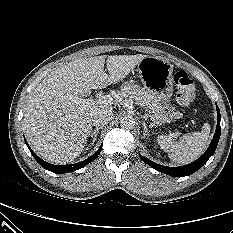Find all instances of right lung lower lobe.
Segmentation results:
<instances>
[{
	"label": "right lung lower lobe",
	"mask_w": 233,
	"mask_h": 233,
	"mask_svg": "<svg viewBox=\"0 0 233 233\" xmlns=\"http://www.w3.org/2000/svg\"><path fill=\"white\" fill-rule=\"evenodd\" d=\"M26 142V141H25ZM27 144V142H26ZM31 154L33 155V157L35 158V160L46 170H49L51 172L54 173H67V172H72L75 170H78L80 168H83L84 166L88 165L90 162H92L93 160H95L97 158V156L100 154V151L102 149V146L97 150V152L95 154H93L92 156H90L89 158H87L86 160L76 163V164H71V165H53L50 163L45 162L44 160H42L41 158H39L29 147V145L27 144Z\"/></svg>",
	"instance_id": "98d812e1"
}]
</instances>
